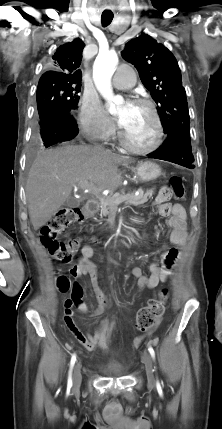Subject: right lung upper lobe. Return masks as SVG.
<instances>
[{
	"instance_id": "obj_1",
	"label": "right lung upper lobe",
	"mask_w": 222,
	"mask_h": 429,
	"mask_svg": "<svg viewBox=\"0 0 222 429\" xmlns=\"http://www.w3.org/2000/svg\"><path fill=\"white\" fill-rule=\"evenodd\" d=\"M85 44L79 38L66 43L52 56V70L45 72L40 80H73L81 81V70L78 67L82 60Z\"/></svg>"
}]
</instances>
